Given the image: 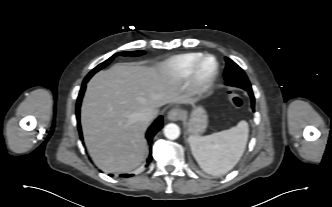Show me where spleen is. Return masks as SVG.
I'll use <instances>...</instances> for the list:
<instances>
[{
  "mask_svg": "<svg viewBox=\"0 0 332 207\" xmlns=\"http://www.w3.org/2000/svg\"><path fill=\"white\" fill-rule=\"evenodd\" d=\"M249 127L244 120L237 126L207 136L191 135L188 142L201 169L215 176L226 174L242 157Z\"/></svg>",
  "mask_w": 332,
  "mask_h": 207,
  "instance_id": "3e777b00",
  "label": "spleen"
}]
</instances>
